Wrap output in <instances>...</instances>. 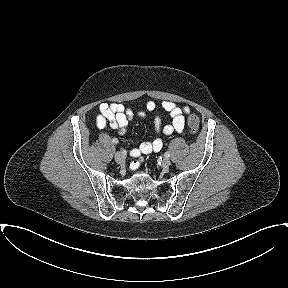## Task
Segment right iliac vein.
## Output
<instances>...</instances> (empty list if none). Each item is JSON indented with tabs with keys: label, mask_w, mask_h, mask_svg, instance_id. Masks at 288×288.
Instances as JSON below:
<instances>
[{
	"label": "right iliac vein",
	"mask_w": 288,
	"mask_h": 288,
	"mask_svg": "<svg viewBox=\"0 0 288 288\" xmlns=\"http://www.w3.org/2000/svg\"><path fill=\"white\" fill-rule=\"evenodd\" d=\"M115 161L118 163V164H121L124 162V155L121 153V152H116L115 153Z\"/></svg>",
	"instance_id": "right-iliac-vein-1"
}]
</instances>
